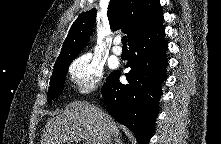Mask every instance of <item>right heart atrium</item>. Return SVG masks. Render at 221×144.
Instances as JSON below:
<instances>
[{"label": "right heart atrium", "mask_w": 221, "mask_h": 144, "mask_svg": "<svg viewBox=\"0 0 221 144\" xmlns=\"http://www.w3.org/2000/svg\"><path fill=\"white\" fill-rule=\"evenodd\" d=\"M69 75L77 93L95 91L103 81V65L90 54L77 57L69 67Z\"/></svg>", "instance_id": "obj_1"}]
</instances>
